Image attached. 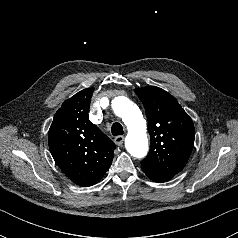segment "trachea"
<instances>
[{
	"label": "trachea",
	"instance_id": "1",
	"mask_svg": "<svg viewBox=\"0 0 238 238\" xmlns=\"http://www.w3.org/2000/svg\"><path fill=\"white\" fill-rule=\"evenodd\" d=\"M111 132L114 136L122 135L123 134V127L120 123H114L111 127Z\"/></svg>",
	"mask_w": 238,
	"mask_h": 238
}]
</instances>
